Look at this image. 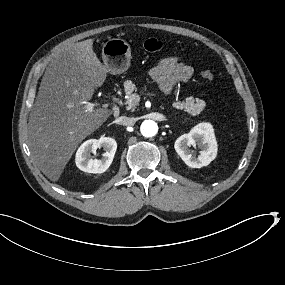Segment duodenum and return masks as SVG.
<instances>
[{"mask_svg": "<svg viewBox=\"0 0 285 285\" xmlns=\"http://www.w3.org/2000/svg\"><path fill=\"white\" fill-rule=\"evenodd\" d=\"M113 113H114V115H117L118 114V108L117 107H113Z\"/></svg>", "mask_w": 285, "mask_h": 285, "instance_id": "410a0bca", "label": "duodenum"}]
</instances>
